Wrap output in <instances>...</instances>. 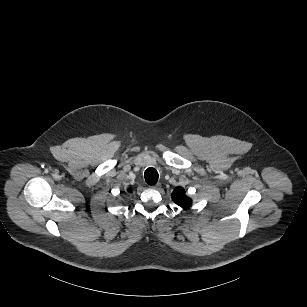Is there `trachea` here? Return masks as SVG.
<instances>
[{
	"label": "trachea",
	"mask_w": 307,
	"mask_h": 307,
	"mask_svg": "<svg viewBox=\"0 0 307 307\" xmlns=\"http://www.w3.org/2000/svg\"><path fill=\"white\" fill-rule=\"evenodd\" d=\"M158 172L154 168H148L144 173V178L147 184L155 185L158 181Z\"/></svg>",
	"instance_id": "1"
}]
</instances>
